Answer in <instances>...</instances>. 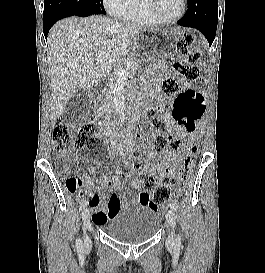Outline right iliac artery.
Masks as SVG:
<instances>
[{"label": "right iliac artery", "instance_id": "obj_1", "mask_svg": "<svg viewBox=\"0 0 265 273\" xmlns=\"http://www.w3.org/2000/svg\"><path fill=\"white\" fill-rule=\"evenodd\" d=\"M86 206H87V203L86 202H81L80 203V209L79 210H83V209H85L86 208ZM76 246H77V248H82V242H81V240L80 239H77L76 240Z\"/></svg>", "mask_w": 265, "mask_h": 273}]
</instances>
